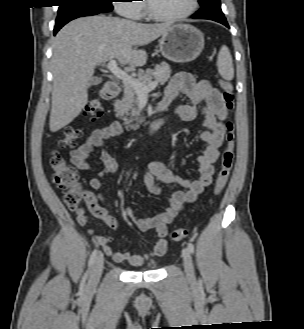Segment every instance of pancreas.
<instances>
[{"label":"pancreas","instance_id":"obj_1","mask_svg":"<svg viewBox=\"0 0 304 329\" xmlns=\"http://www.w3.org/2000/svg\"><path fill=\"white\" fill-rule=\"evenodd\" d=\"M171 75V68L168 63H161V65H156L154 69H147L143 73H139L138 81L148 85L152 80L158 81L160 84H164L168 81ZM123 97L118 99L114 103V109L116 112V117L124 121V124L131 126L133 121H138V105H139V95L135 89L129 85L124 84L123 86Z\"/></svg>","mask_w":304,"mask_h":329}]
</instances>
